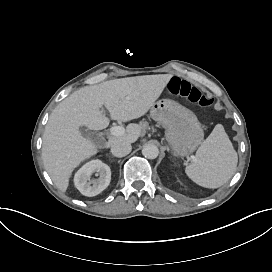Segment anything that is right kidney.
Masks as SVG:
<instances>
[{
  "instance_id": "ca27d5eb",
  "label": "right kidney",
  "mask_w": 272,
  "mask_h": 272,
  "mask_svg": "<svg viewBox=\"0 0 272 272\" xmlns=\"http://www.w3.org/2000/svg\"><path fill=\"white\" fill-rule=\"evenodd\" d=\"M95 175L97 178H90ZM111 180L110 167L99 161L84 165L75 175V186L85 196L92 197L106 189Z\"/></svg>"
}]
</instances>
